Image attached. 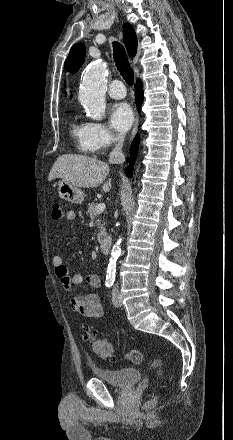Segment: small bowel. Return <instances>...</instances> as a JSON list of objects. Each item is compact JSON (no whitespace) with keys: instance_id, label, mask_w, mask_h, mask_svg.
I'll list each match as a JSON object with an SVG mask.
<instances>
[{"instance_id":"c3829d8e","label":"small bowel","mask_w":233,"mask_h":440,"mask_svg":"<svg viewBox=\"0 0 233 440\" xmlns=\"http://www.w3.org/2000/svg\"><path fill=\"white\" fill-rule=\"evenodd\" d=\"M66 219L71 223L75 222L76 213L72 210L67 211ZM52 264L55 276L60 281L61 286L68 297L71 309L85 317L101 318L104 311L97 294L93 292L74 294L72 292V286L81 284L84 279L92 288H99L101 286L100 276L95 273H88L85 277L79 272L70 274L61 255H55L52 259Z\"/></svg>"}]
</instances>
